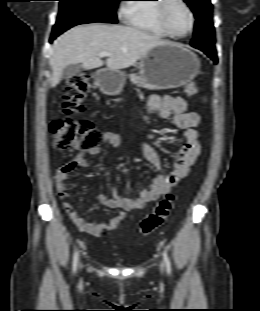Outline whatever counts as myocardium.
Segmentation results:
<instances>
[{"instance_id": "myocardium-1", "label": "myocardium", "mask_w": 260, "mask_h": 311, "mask_svg": "<svg viewBox=\"0 0 260 311\" xmlns=\"http://www.w3.org/2000/svg\"><path fill=\"white\" fill-rule=\"evenodd\" d=\"M188 12L189 16H190V28L189 30L185 33V34H175L173 33L166 21V12H167V8L169 6V4L172 2V0H159L158 4H157V10H156V16H157V20L161 26V28L165 31V33L173 38H184L188 35H190L192 33V31L194 30V26H195V15L193 10L191 9V7L189 6V4L185 1V0H177Z\"/></svg>"}]
</instances>
